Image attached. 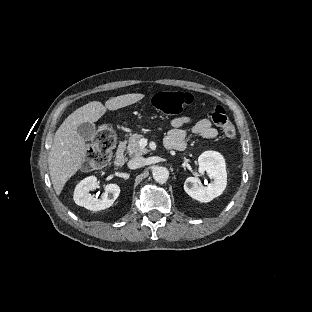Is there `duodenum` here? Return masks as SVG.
I'll return each mask as SVG.
<instances>
[{
    "label": "duodenum",
    "instance_id": "1",
    "mask_svg": "<svg viewBox=\"0 0 312 312\" xmlns=\"http://www.w3.org/2000/svg\"><path fill=\"white\" fill-rule=\"evenodd\" d=\"M167 148H169L170 150H174V148L172 147H167ZM113 162H114V165L118 168H122L125 165L126 152L124 150L123 143L120 144L118 150L116 151Z\"/></svg>",
    "mask_w": 312,
    "mask_h": 312
}]
</instances>
